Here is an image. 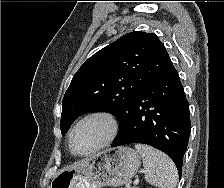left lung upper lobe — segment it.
<instances>
[{"label": "left lung upper lobe", "mask_w": 224, "mask_h": 188, "mask_svg": "<svg viewBox=\"0 0 224 188\" xmlns=\"http://www.w3.org/2000/svg\"><path fill=\"white\" fill-rule=\"evenodd\" d=\"M172 65L164 45L154 33H127L101 49L75 73L64 95L62 134L77 117L95 111L113 114L122 129L142 89Z\"/></svg>", "instance_id": "1"}]
</instances>
